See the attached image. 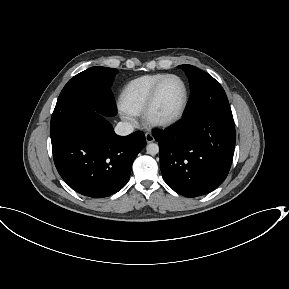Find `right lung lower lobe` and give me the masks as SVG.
Wrapping results in <instances>:
<instances>
[{"mask_svg":"<svg viewBox=\"0 0 289 289\" xmlns=\"http://www.w3.org/2000/svg\"><path fill=\"white\" fill-rule=\"evenodd\" d=\"M104 116L84 112L51 136L54 163L62 179L76 192L93 198L121 190L130 178L135 157L146 145L140 131L116 135Z\"/></svg>","mask_w":289,"mask_h":289,"instance_id":"98d812e1","label":"right lung lower lobe"}]
</instances>
